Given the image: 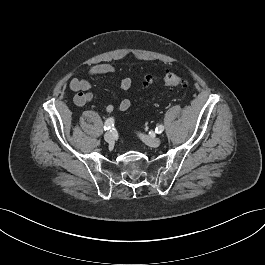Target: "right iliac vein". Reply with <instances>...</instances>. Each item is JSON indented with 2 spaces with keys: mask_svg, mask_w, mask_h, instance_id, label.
I'll list each match as a JSON object with an SVG mask.
<instances>
[{
  "mask_svg": "<svg viewBox=\"0 0 265 265\" xmlns=\"http://www.w3.org/2000/svg\"><path fill=\"white\" fill-rule=\"evenodd\" d=\"M104 139L107 143L112 144L114 143L115 137L112 132H106L104 135Z\"/></svg>",
  "mask_w": 265,
  "mask_h": 265,
  "instance_id": "obj_1",
  "label": "right iliac vein"
}]
</instances>
